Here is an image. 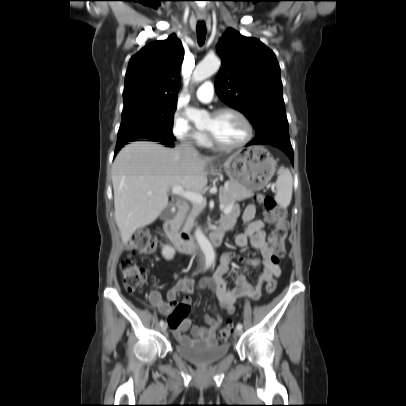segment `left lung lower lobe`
<instances>
[{
	"instance_id": "1",
	"label": "left lung lower lobe",
	"mask_w": 406,
	"mask_h": 406,
	"mask_svg": "<svg viewBox=\"0 0 406 406\" xmlns=\"http://www.w3.org/2000/svg\"><path fill=\"white\" fill-rule=\"evenodd\" d=\"M256 144H267L273 145L274 147L280 148L284 151L290 158L291 162L294 163L293 150L290 141L281 140L276 138H255L253 141L249 142L247 145Z\"/></svg>"
}]
</instances>
